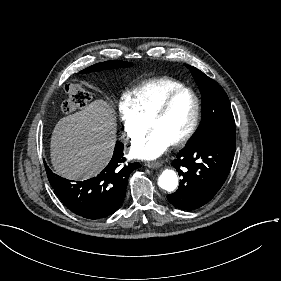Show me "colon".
I'll return each mask as SVG.
<instances>
[{
  "mask_svg": "<svg viewBox=\"0 0 281 281\" xmlns=\"http://www.w3.org/2000/svg\"><path fill=\"white\" fill-rule=\"evenodd\" d=\"M66 93L67 99L62 104V109L66 114H72L90 103V93L76 84L68 85Z\"/></svg>",
  "mask_w": 281,
  "mask_h": 281,
  "instance_id": "1",
  "label": "colon"
}]
</instances>
